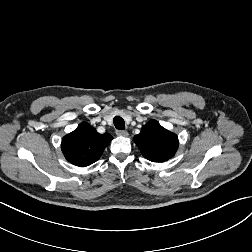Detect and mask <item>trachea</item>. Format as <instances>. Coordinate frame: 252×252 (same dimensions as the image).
Returning a JSON list of instances; mask_svg holds the SVG:
<instances>
[{"label":"trachea","mask_w":252,"mask_h":252,"mask_svg":"<svg viewBox=\"0 0 252 252\" xmlns=\"http://www.w3.org/2000/svg\"><path fill=\"white\" fill-rule=\"evenodd\" d=\"M113 123H114L116 129H118V130L125 129V122L122 117H120V116L114 117Z\"/></svg>","instance_id":"3493384b"}]
</instances>
